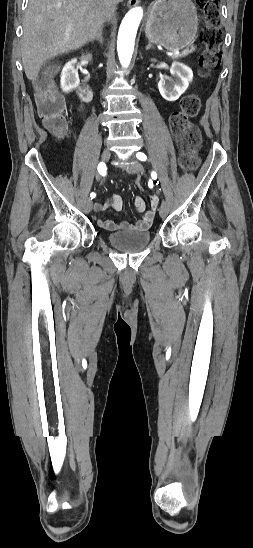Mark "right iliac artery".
Wrapping results in <instances>:
<instances>
[{
  "instance_id": "obj_1",
  "label": "right iliac artery",
  "mask_w": 253,
  "mask_h": 548,
  "mask_svg": "<svg viewBox=\"0 0 253 548\" xmlns=\"http://www.w3.org/2000/svg\"><path fill=\"white\" fill-rule=\"evenodd\" d=\"M106 170H107V168H106L105 163L102 162L98 165V172H99L100 175L105 176L106 175ZM95 196H96V194L94 192H92L90 194L91 199L95 198Z\"/></svg>"
}]
</instances>
